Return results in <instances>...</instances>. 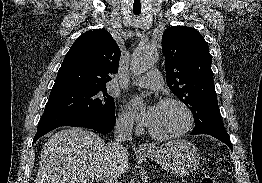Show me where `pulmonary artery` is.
Returning a JSON list of instances; mask_svg holds the SVG:
<instances>
[{
    "label": "pulmonary artery",
    "mask_w": 262,
    "mask_h": 183,
    "mask_svg": "<svg viewBox=\"0 0 262 183\" xmlns=\"http://www.w3.org/2000/svg\"><path fill=\"white\" fill-rule=\"evenodd\" d=\"M131 84L139 85L150 89H158L162 87L163 80L158 70H151L145 75L132 81Z\"/></svg>",
    "instance_id": "1"
}]
</instances>
